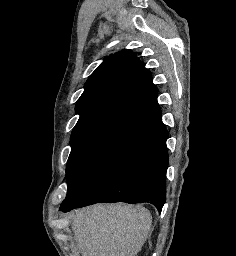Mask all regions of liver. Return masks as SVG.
Returning <instances> with one entry per match:
<instances>
[{
	"label": "liver",
	"mask_w": 236,
	"mask_h": 256,
	"mask_svg": "<svg viewBox=\"0 0 236 256\" xmlns=\"http://www.w3.org/2000/svg\"><path fill=\"white\" fill-rule=\"evenodd\" d=\"M151 224L143 206L95 204L75 210L71 228L82 256H137Z\"/></svg>",
	"instance_id": "obj_1"
}]
</instances>
